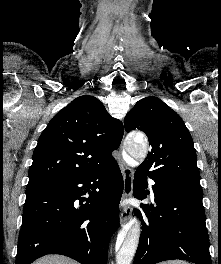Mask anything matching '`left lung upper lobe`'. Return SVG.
I'll use <instances>...</instances> for the list:
<instances>
[{
  "label": "left lung upper lobe",
  "mask_w": 221,
  "mask_h": 264,
  "mask_svg": "<svg viewBox=\"0 0 221 264\" xmlns=\"http://www.w3.org/2000/svg\"><path fill=\"white\" fill-rule=\"evenodd\" d=\"M127 132L143 131L151 151L140 165L149 177L167 185L203 194L192 137L180 116L157 97L139 100L124 119Z\"/></svg>",
  "instance_id": "obj_1"
}]
</instances>
